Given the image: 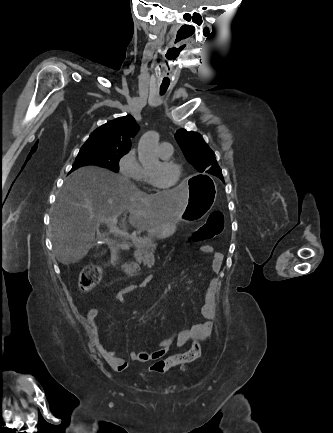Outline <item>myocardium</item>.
Listing matches in <instances>:
<instances>
[{
  "label": "myocardium",
  "instance_id": "obj_1",
  "mask_svg": "<svg viewBox=\"0 0 333 433\" xmlns=\"http://www.w3.org/2000/svg\"><path fill=\"white\" fill-rule=\"evenodd\" d=\"M161 163L163 165H165V166L172 167V168H174L177 171V178H176L175 182L173 183V185L171 187H168V188L164 187V186H162V185H160V184L157 183V181L155 180L153 174L148 170L147 174H148L149 182L151 183L152 186H154L155 188H157V189H159V190H161L163 192L172 191L178 185V181H179L178 177H179V174H180V166L176 162H174L172 160H168V159H163L161 161Z\"/></svg>",
  "mask_w": 333,
  "mask_h": 433
}]
</instances>
